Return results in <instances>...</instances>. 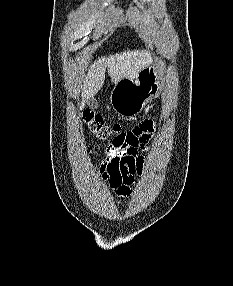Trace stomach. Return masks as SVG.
<instances>
[{
  "instance_id": "obj_1",
  "label": "stomach",
  "mask_w": 233,
  "mask_h": 286,
  "mask_svg": "<svg viewBox=\"0 0 233 286\" xmlns=\"http://www.w3.org/2000/svg\"><path fill=\"white\" fill-rule=\"evenodd\" d=\"M161 67L151 63L135 78H123L112 90L110 101L117 114L131 118L139 114L147 103L159 95L161 89Z\"/></svg>"
}]
</instances>
